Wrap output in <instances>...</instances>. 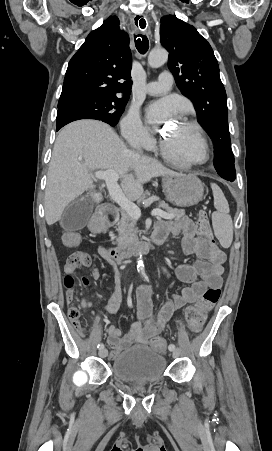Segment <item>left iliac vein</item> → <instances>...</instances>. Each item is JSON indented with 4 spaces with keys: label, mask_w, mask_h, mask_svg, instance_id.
<instances>
[{
    "label": "left iliac vein",
    "mask_w": 272,
    "mask_h": 451,
    "mask_svg": "<svg viewBox=\"0 0 272 451\" xmlns=\"http://www.w3.org/2000/svg\"><path fill=\"white\" fill-rule=\"evenodd\" d=\"M179 353H180L179 350L175 349V351L172 354L173 358H177L179 356Z\"/></svg>",
    "instance_id": "left-iliac-vein-1"
}]
</instances>
